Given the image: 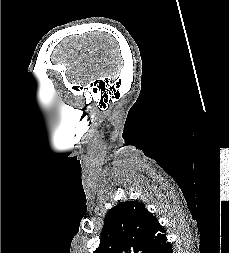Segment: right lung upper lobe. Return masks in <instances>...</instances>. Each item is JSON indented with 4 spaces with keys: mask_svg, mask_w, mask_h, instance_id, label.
Masks as SVG:
<instances>
[{
    "mask_svg": "<svg viewBox=\"0 0 229 253\" xmlns=\"http://www.w3.org/2000/svg\"><path fill=\"white\" fill-rule=\"evenodd\" d=\"M166 240L165 229L142 203L125 201L108 211L94 253H154Z\"/></svg>",
    "mask_w": 229,
    "mask_h": 253,
    "instance_id": "1",
    "label": "right lung upper lobe"
}]
</instances>
